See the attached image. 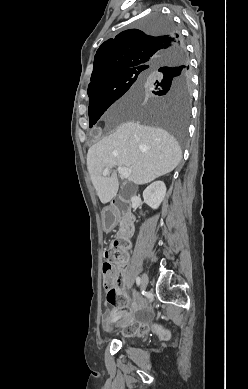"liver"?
Here are the masks:
<instances>
[{
    "label": "liver",
    "mask_w": 248,
    "mask_h": 389,
    "mask_svg": "<svg viewBox=\"0 0 248 389\" xmlns=\"http://www.w3.org/2000/svg\"><path fill=\"white\" fill-rule=\"evenodd\" d=\"M136 88H132L121 104H136ZM182 153L176 139L167 131L127 121L114 133L91 146L87 153V169L92 184L103 204L118 192L116 166L131 169L129 180L136 185L152 182L173 171L181 161ZM111 174L103 175L104 169Z\"/></svg>",
    "instance_id": "liver-1"
}]
</instances>
